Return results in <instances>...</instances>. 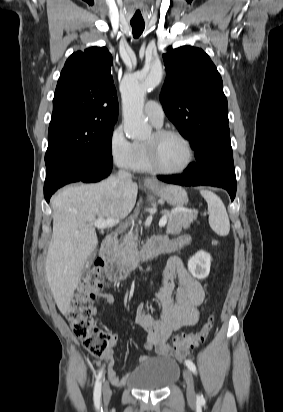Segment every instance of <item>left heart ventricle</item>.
<instances>
[{"mask_svg":"<svg viewBox=\"0 0 283 412\" xmlns=\"http://www.w3.org/2000/svg\"><path fill=\"white\" fill-rule=\"evenodd\" d=\"M151 139L152 135L147 141ZM156 158L159 166L164 169H179L188 158L187 148L178 138L166 136L157 142Z\"/></svg>","mask_w":283,"mask_h":412,"instance_id":"b2bd125f","label":"left heart ventricle"}]
</instances>
